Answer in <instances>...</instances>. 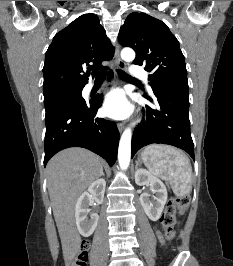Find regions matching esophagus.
<instances>
[{
    "label": "esophagus",
    "mask_w": 233,
    "mask_h": 266,
    "mask_svg": "<svg viewBox=\"0 0 233 266\" xmlns=\"http://www.w3.org/2000/svg\"><path fill=\"white\" fill-rule=\"evenodd\" d=\"M114 58L117 64V67L119 69H124L125 68V63L122 61V59L120 58V51H119V46L116 47L115 49V54H114ZM118 130L119 132H122L124 129V124L123 123H118L117 124Z\"/></svg>",
    "instance_id": "1"
}]
</instances>
